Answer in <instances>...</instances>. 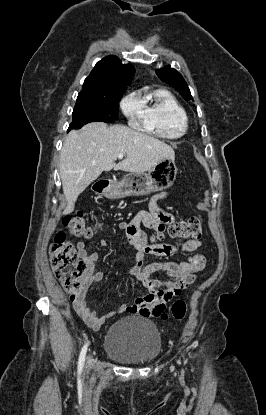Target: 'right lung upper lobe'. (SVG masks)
Masks as SVG:
<instances>
[{"mask_svg": "<svg viewBox=\"0 0 266 415\" xmlns=\"http://www.w3.org/2000/svg\"><path fill=\"white\" fill-rule=\"evenodd\" d=\"M134 73L131 64H122L117 56H107L95 65L79 94L108 96L124 92Z\"/></svg>", "mask_w": 266, "mask_h": 415, "instance_id": "right-lung-upper-lobe-1", "label": "right lung upper lobe"}]
</instances>
